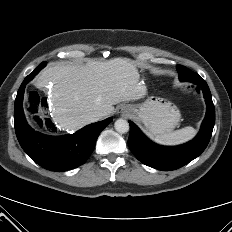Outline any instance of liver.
<instances>
[{"label": "liver", "instance_id": "6515ba94", "mask_svg": "<svg viewBox=\"0 0 232 232\" xmlns=\"http://www.w3.org/2000/svg\"><path fill=\"white\" fill-rule=\"evenodd\" d=\"M134 62L127 58L88 60L85 65L57 63L43 69L35 86L53 84L50 94L52 118L63 130L77 131L92 123L97 111L114 113L120 102L138 100L147 93Z\"/></svg>", "mask_w": 232, "mask_h": 232}]
</instances>
